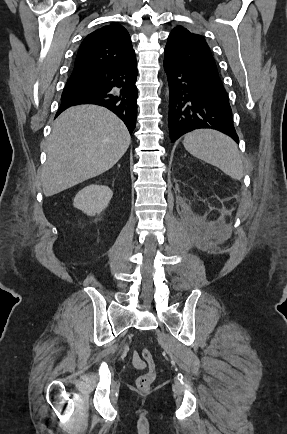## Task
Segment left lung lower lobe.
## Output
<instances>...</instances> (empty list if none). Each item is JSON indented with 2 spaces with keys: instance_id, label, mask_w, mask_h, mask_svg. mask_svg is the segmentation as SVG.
<instances>
[{
  "instance_id": "1",
  "label": "left lung lower lobe",
  "mask_w": 287,
  "mask_h": 434,
  "mask_svg": "<svg viewBox=\"0 0 287 434\" xmlns=\"http://www.w3.org/2000/svg\"><path fill=\"white\" fill-rule=\"evenodd\" d=\"M164 69L170 88L168 125L172 142L200 128L221 131L239 142L218 72L167 56Z\"/></svg>"
}]
</instances>
